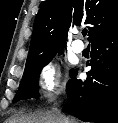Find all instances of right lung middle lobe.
Wrapping results in <instances>:
<instances>
[{
    "mask_svg": "<svg viewBox=\"0 0 118 123\" xmlns=\"http://www.w3.org/2000/svg\"><path fill=\"white\" fill-rule=\"evenodd\" d=\"M62 51L39 58L31 66L26 67L13 102L22 99L38 97V80L39 74L44 66H46L57 54Z\"/></svg>",
    "mask_w": 118,
    "mask_h": 123,
    "instance_id": "dd1d6c3e",
    "label": "right lung middle lobe"
}]
</instances>
